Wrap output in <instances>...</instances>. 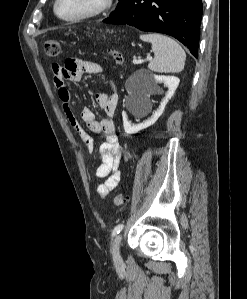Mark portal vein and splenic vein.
Masks as SVG:
<instances>
[{
	"mask_svg": "<svg viewBox=\"0 0 247 299\" xmlns=\"http://www.w3.org/2000/svg\"><path fill=\"white\" fill-rule=\"evenodd\" d=\"M147 60L150 61V60H152V58L149 57V58H147ZM142 62H144V60L136 59V58L133 59V64H139V63H142Z\"/></svg>",
	"mask_w": 247,
	"mask_h": 299,
	"instance_id": "obj_1",
	"label": "portal vein and splenic vein"
}]
</instances>
